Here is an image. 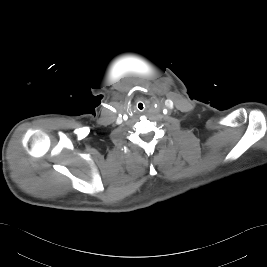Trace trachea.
<instances>
[{
  "mask_svg": "<svg viewBox=\"0 0 267 267\" xmlns=\"http://www.w3.org/2000/svg\"><path fill=\"white\" fill-rule=\"evenodd\" d=\"M138 109H139V110H143V109H144V106H143L142 103H139V104H138Z\"/></svg>",
  "mask_w": 267,
  "mask_h": 267,
  "instance_id": "3493384b",
  "label": "trachea"
}]
</instances>
